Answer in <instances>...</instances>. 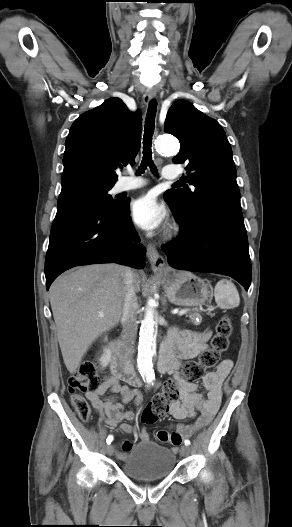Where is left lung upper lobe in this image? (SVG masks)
<instances>
[{
	"label": "left lung upper lobe",
	"instance_id": "obj_1",
	"mask_svg": "<svg viewBox=\"0 0 292 527\" xmlns=\"http://www.w3.org/2000/svg\"><path fill=\"white\" fill-rule=\"evenodd\" d=\"M165 131L180 141L172 159L185 163V183L164 195L179 224L201 214L229 211L242 214L232 149L220 124L184 100L168 110Z\"/></svg>",
	"mask_w": 292,
	"mask_h": 527
}]
</instances>
